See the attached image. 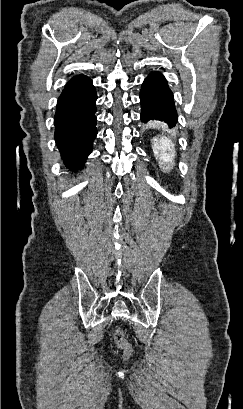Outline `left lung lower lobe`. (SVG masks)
<instances>
[{
	"mask_svg": "<svg viewBox=\"0 0 243 409\" xmlns=\"http://www.w3.org/2000/svg\"><path fill=\"white\" fill-rule=\"evenodd\" d=\"M142 122L158 120L165 122L170 128L177 123L173 93L167 80L159 72H153L144 80L140 92Z\"/></svg>",
	"mask_w": 243,
	"mask_h": 409,
	"instance_id": "1",
	"label": "left lung lower lobe"
}]
</instances>
